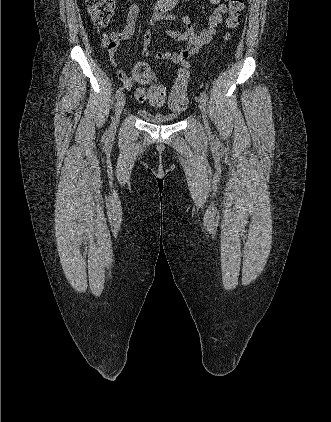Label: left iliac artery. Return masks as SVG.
<instances>
[{
	"mask_svg": "<svg viewBox=\"0 0 331 422\" xmlns=\"http://www.w3.org/2000/svg\"><path fill=\"white\" fill-rule=\"evenodd\" d=\"M201 97H203L205 101H208V95L206 94V92H202Z\"/></svg>",
	"mask_w": 331,
	"mask_h": 422,
	"instance_id": "44dca946",
	"label": "left iliac artery"
}]
</instances>
